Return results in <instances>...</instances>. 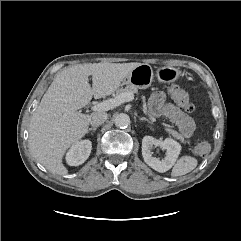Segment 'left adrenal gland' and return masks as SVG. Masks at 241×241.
Masks as SVG:
<instances>
[{
    "label": "left adrenal gland",
    "instance_id": "a2214340",
    "mask_svg": "<svg viewBox=\"0 0 241 241\" xmlns=\"http://www.w3.org/2000/svg\"><path fill=\"white\" fill-rule=\"evenodd\" d=\"M139 119L141 120V121H147V122H149V123H152L149 119H147L146 117H139Z\"/></svg>",
    "mask_w": 241,
    "mask_h": 241
}]
</instances>
